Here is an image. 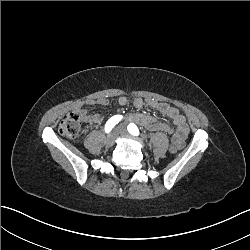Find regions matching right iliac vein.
Returning a JSON list of instances; mask_svg holds the SVG:
<instances>
[{
    "instance_id": "right-iliac-vein-1",
    "label": "right iliac vein",
    "mask_w": 250,
    "mask_h": 250,
    "mask_svg": "<svg viewBox=\"0 0 250 250\" xmlns=\"http://www.w3.org/2000/svg\"><path fill=\"white\" fill-rule=\"evenodd\" d=\"M119 134V129L113 131L110 135H108L105 140H104V144L107 146H113L115 143V139Z\"/></svg>"
}]
</instances>
